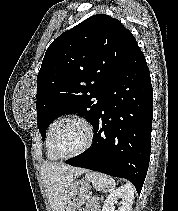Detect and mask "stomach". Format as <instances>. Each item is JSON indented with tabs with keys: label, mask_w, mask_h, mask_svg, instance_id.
<instances>
[{
	"label": "stomach",
	"mask_w": 178,
	"mask_h": 211,
	"mask_svg": "<svg viewBox=\"0 0 178 211\" xmlns=\"http://www.w3.org/2000/svg\"><path fill=\"white\" fill-rule=\"evenodd\" d=\"M88 181L77 180L68 189L67 200L63 211H77L85 203L86 196L90 192Z\"/></svg>",
	"instance_id": "stomach-1"
}]
</instances>
